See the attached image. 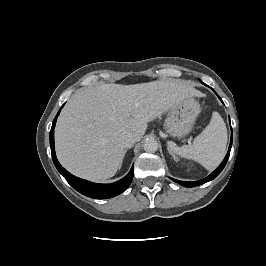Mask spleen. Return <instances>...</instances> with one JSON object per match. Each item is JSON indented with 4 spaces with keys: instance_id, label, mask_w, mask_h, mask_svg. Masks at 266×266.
I'll return each instance as SVG.
<instances>
[{
    "instance_id": "3e777b00",
    "label": "spleen",
    "mask_w": 266,
    "mask_h": 266,
    "mask_svg": "<svg viewBox=\"0 0 266 266\" xmlns=\"http://www.w3.org/2000/svg\"><path fill=\"white\" fill-rule=\"evenodd\" d=\"M227 128L218 112H213L210 123L191 145L176 146L169 143L171 151L180 157L194 160L208 170L217 167L225 156Z\"/></svg>"
}]
</instances>
